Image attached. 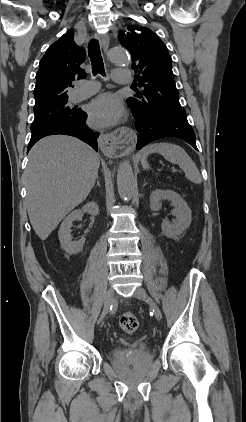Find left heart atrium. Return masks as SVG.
Masks as SVG:
<instances>
[{"instance_id":"obj_1","label":"left heart atrium","mask_w":246,"mask_h":422,"mask_svg":"<svg viewBox=\"0 0 246 422\" xmlns=\"http://www.w3.org/2000/svg\"><path fill=\"white\" fill-rule=\"evenodd\" d=\"M88 113L92 125L106 127L118 123L123 115V110L115 95L104 93L90 103Z\"/></svg>"}]
</instances>
